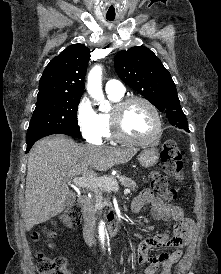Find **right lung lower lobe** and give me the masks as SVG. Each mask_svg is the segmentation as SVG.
Masks as SVG:
<instances>
[{
	"label": "right lung lower lobe",
	"mask_w": 221,
	"mask_h": 274,
	"mask_svg": "<svg viewBox=\"0 0 221 274\" xmlns=\"http://www.w3.org/2000/svg\"><path fill=\"white\" fill-rule=\"evenodd\" d=\"M45 136H48V135H45ZM42 137H44V136H42ZM42 137H39V138L34 139V140L30 141V142H27V150H26V152H29V150H30V148L32 147V145H33L37 140H39V139L42 138Z\"/></svg>",
	"instance_id": "1"
}]
</instances>
